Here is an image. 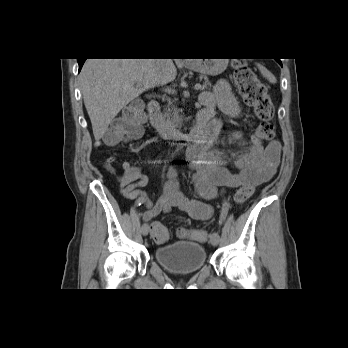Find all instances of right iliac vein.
Segmentation results:
<instances>
[{
    "instance_id": "right-iliac-vein-1",
    "label": "right iliac vein",
    "mask_w": 348,
    "mask_h": 348,
    "mask_svg": "<svg viewBox=\"0 0 348 348\" xmlns=\"http://www.w3.org/2000/svg\"><path fill=\"white\" fill-rule=\"evenodd\" d=\"M141 231L144 236H147L149 233V225L147 223L143 224Z\"/></svg>"
}]
</instances>
